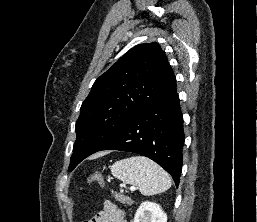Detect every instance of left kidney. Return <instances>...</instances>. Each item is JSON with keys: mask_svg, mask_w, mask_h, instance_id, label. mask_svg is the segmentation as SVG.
<instances>
[{"mask_svg": "<svg viewBox=\"0 0 257 222\" xmlns=\"http://www.w3.org/2000/svg\"><path fill=\"white\" fill-rule=\"evenodd\" d=\"M134 222H167V215L158 204L145 201L137 209Z\"/></svg>", "mask_w": 257, "mask_h": 222, "instance_id": "5707ae66", "label": "left kidney"}]
</instances>
